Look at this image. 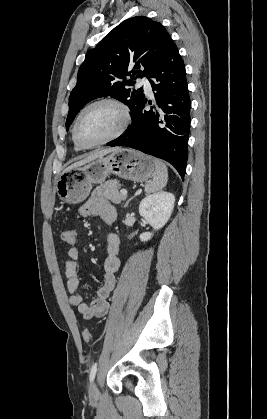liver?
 I'll return each instance as SVG.
<instances>
[{"mask_svg":"<svg viewBox=\"0 0 267 419\" xmlns=\"http://www.w3.org/2000/svg\"><path fill=\"white\" fill-rule=\"evenodd\" d=\"M118 148H105V149H100V150H95L92 153H90L87 157H85L84 159L75 162L74 164H72L71 166H69L66 170L75 168V167H79V166H83L97 158H101L111 152L116 151Z\"/></svg>","mask_w":267,"mask_h":419,"instance_id":"liver-1","label":"liver"}]
</instances>
